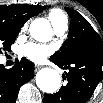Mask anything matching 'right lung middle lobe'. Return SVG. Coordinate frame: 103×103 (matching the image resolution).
<instances>
[{
	"label": "right lung middle lobe",
	"mask_w": 103,
	"mask_h": 103,
	"mask_svg": "<svg viewBox=\"0 0 103 103\" xmlns=\"http://www.w3.org/2000/svg\"><path fill=\"white\" fill-rule=\"evenodd\" d=\"M20 29L14 28L0 21V53L1 48L9 50L14 43Z\"/></svg>",
	"instance_id": "obj_1"
}]
</instances>
